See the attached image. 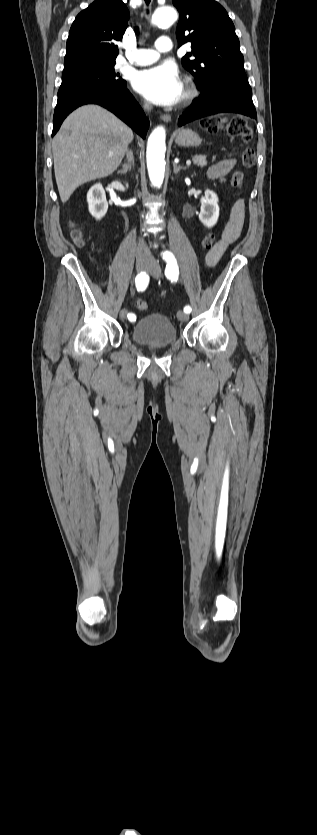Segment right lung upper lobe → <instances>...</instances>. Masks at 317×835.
I'll return each mask as SVG.
<instances>
[{
	"instance_id": "obj_1",
	"label": "right lung upper lobe",
	"mask_w": 317,
	"mask_h": 835,
	"mask_svg": "<svg viewBox=\"0 0 317 835\" xmlns=\"http://www.w3.org/2000/svg\"><path fill=\"white\" fill-rule=\"evenodd\" d=\"M129 11L122 0H96L75 18L67 40L65 61L95 59L115 62V41L122 40Z\"/></svg>"
}]
</instances>
